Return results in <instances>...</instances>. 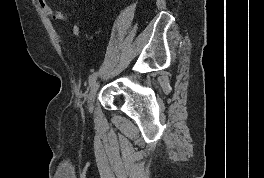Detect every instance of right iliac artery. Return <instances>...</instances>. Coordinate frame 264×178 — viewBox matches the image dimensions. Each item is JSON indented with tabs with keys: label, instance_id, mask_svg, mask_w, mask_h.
Instances as JSON below:
<instances>
[{
	"label": "right iliac artery",
	"instance_id": "right-iliac-artery-1",
	"mask_svg": "<svg viewBox=\"0 0 264 178\" xmlns=\"http://www.w3.org/2000/svg\"><path fill=\"white\" fill-rule=\"evenodd\" d=\"M97 76H98V72H95L92 75H90V77H89V84H90V86L92 85V83L94 82V80L97 78Z\"/></svg>",
	"mask_w": 264,
	"mask_h": 178
}]
</instances>
